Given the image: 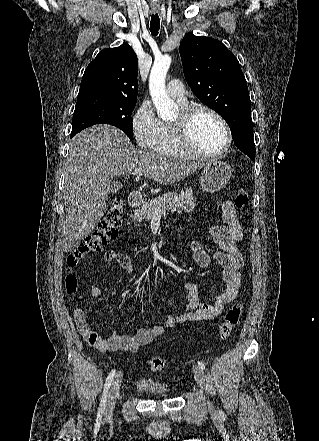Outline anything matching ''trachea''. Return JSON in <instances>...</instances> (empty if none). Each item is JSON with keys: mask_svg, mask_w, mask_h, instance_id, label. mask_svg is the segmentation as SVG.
Returning <instances> with one entry per match:
<instances>
[{"mask_svg": "<svg viewBox=\"0 0 319 441\" xmlns=\"http://www.w3.org/2000/svg\"><path fill=\"white\" fill-rule=\"evenodd\" d=\"M160 29V19L158 14H153L150 21V32L153 36H157Z\"/></svg>", "mask_w": 319, "mask_h": 441, "instance_id": "1", "label": "trachea"}]
</instances>
